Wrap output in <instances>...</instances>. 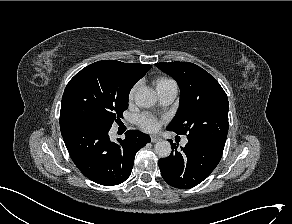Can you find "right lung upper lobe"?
<instances>
[{
  "label": "right lung upper lobe",
  "instance_id": "right-lung-upper-lobe-1",
  "mask_svg": "<svg viewBox=\"0 0 292 224\" xmlns=\"http://www.w3.org/2000/svg\"><path fill=\"white\" fill-rule=\"evenodd\" d=\"M117 66H119L128 77L129 81L134 85L139 79H141L146 72L151 68L149 64H132V63H122L115 60H107Z\"/></svg>",
  "mask_w": 292,
  "mask_h": 224
}]
</instances>
